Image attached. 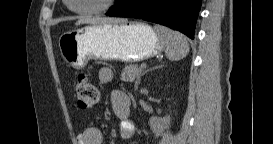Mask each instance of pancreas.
I'll use <instances>...</instances> for the list:
<instances>
[{
  "mask_svg": "<svg viewBox=\"0 0 273 144\" xmlns=\"http://www.w3.org/2000/svg\"><path fill=\"white\" fill-rule=\"evenodd\" d=\"M142 68L137 64H130L125 66L121 73V80L125 82H133L136 78L138 79L141 75Z\"/></svg>",
  "mask_w": 273,
  "mask_h": 144,
  "instance_id": "cf45deb5",
  "label": "pancreas"
}]
</instances>
